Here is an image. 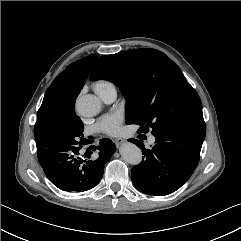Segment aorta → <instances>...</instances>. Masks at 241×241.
I'll return each instance as SVG.
<instances>
[{"mask_svg":"<svg viewBox=\"0 0 241 241\" xmlns=\"http://www.w3.org/2000/svg\"><path fill=\"white\" fill-rule=\"evenodd\" d=\"M76 110L84 117L97 115L101 110V101L92 94L80 95L76 100ZM122 158L131 165H138L142 161V151L135 144L127 142L120 148Z\"/></svg>","mask_w":241,"mask_h":241,"instance_id":"1","label":"aorta"}]
</instances>
